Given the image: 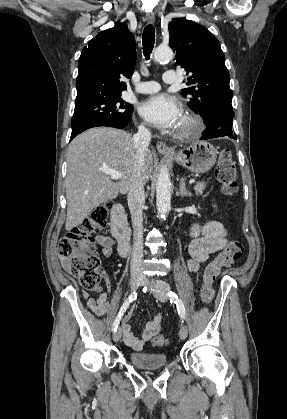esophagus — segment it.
Returning a JSON list of instances; mask_svg holds the SVG:
<instances>
[{
	"instance_id": "34e87169",
	"label": "esophagus",
	"mask_w": 287,
	"mask_h": 419,
	"mask_svg": "<svg viewBox=\"0 0 287 419\" xmlns=\"http://www.w3.org/2000/svg\"><path fill=\"white\" fill-rule=\"evenodd\" d=\"M146 19L149 23L154 24L155 23V15L152 12L146 13ZM156 149L161 153L166 154H174L173 150L170 149L164 142L159 141L156 144Z\"/></svg>"
}]
</instances>
